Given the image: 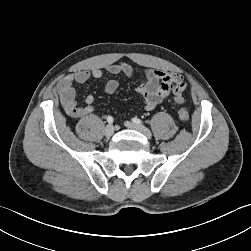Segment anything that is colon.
I'll return each mask as SVG.
<instances>
[{
  "label": "colon",
  "instance_id": "1",
  "mask_svg": "<svg viewBox=\"0 0 251 251\" xmlns=\"http://www.w3.org/2000/svg\"><path fill=\"white\" fill-rule=\"evenodd\" d=\"M178 115L183 121H188L190 119L189 112L184 107L179 109Z\"/></svg>",
  "mask_w": 251,
  "mask_h": 251
}]
</instances>
